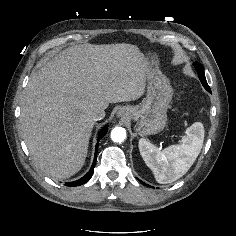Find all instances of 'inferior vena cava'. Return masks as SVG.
I'll use <instances>...</instances> for the list:
<instances>
[{"label": "inferior vena cava", "mask_w": 236, "mask_h": 236, "mask_svg": "<svg viewBox=\"0 0 236 236\" xmlns=\"http://www.w3.org/2000/svg\"><path fill=\"white\" fill-rule=\"evenodd\" d=\"M90 117L94 121L101 120L105 117V111L104 109L101 108H94L93 110L90 111Z\"/></svg>", "instance_id": "obj_1"}]
</instances>
